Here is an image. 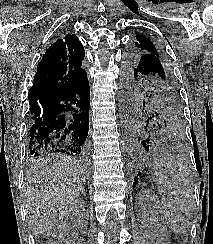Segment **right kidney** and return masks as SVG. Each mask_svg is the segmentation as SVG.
Here are the masks:
<instances>
[{
  "label": "right kidney",
  "mask_w": 213,
  "mask_h": 244,
  "mask_svg": "<svg viewBox=\"0 0 213 244\" xmlns=\"http://www.w3.org/2000/svg\"><path fill=\"white\" fill-rule=\"evenodd\" d=\"M85 207V201L76 199L74 202L70 203L69 206L65 207V209L61 211L60 216L66 217L69 215H77L82 218L81 220H79V224H81L82 226H86L88 212L85 210Z\"/></svg>",
  "instance_id": "obj_1"
}]
</instances>
